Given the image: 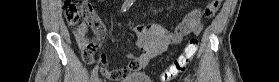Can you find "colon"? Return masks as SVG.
<instances>
[{
  "label": "colon",
  "mask_w": 279,
  "mask_h": 82,
  "mask_svg": "<svg viewBox=\"0 0 279 82\" xmlns=\"http://www.w3.org/2000/svg\"><path fill=\"white\" fill-rule=\"evenodd\" d=\"M221 1H210L209 4H220ZM64 17L66 22L82 32L86 31L87 25L91 28L100 26V19L91 7V5L85 1H65L64 4ZM199 46V41L196 37H192L189 43L184 47L182 53L177 56L174 61L164 69L161 74V82H170L174 77L183 72L192 57L196 53ZM90 49H87L84 52V57ZM114 76H119L117 73H114Z\"/></svg>",
  "instance_id": "1"
}]
</instances>
